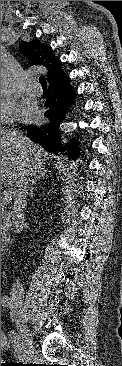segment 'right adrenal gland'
Wrapping results in <instances>:
<instances>
[{
    "label": "right adrenal gland",
    "instance_id": "right-adrenal-gland-1",
    "mask_svg": "<svg viewBox=\"0 0 122 366\" xmlns=\"http://www.w3.org/2000/svg\"><path fill=\"white\" fill-rule=\"evenodd\" d=\"M45 172H43L39 177H34V179H32V184H31V187H30V190H29L30 191V193H29L30 197H33L34 186L36 185L37 181H39L42 177H44Z\"/></svg>",
    "mask_w": 122,
    "mask_h": 366
}]
</instances>
